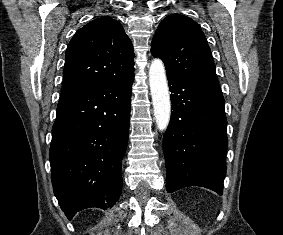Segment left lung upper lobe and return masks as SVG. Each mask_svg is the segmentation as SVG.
Here are the masks:
<instances>
[{
	"label": "left lung upper lobe",
	"mask_w": 283,
	"mask_h": 235,
	"mask_svg": "<svg viewBox=\"0 0 283 235\" xmlns=\"http://www.w3.org/2000/svg\"><path fill=\"white\" fill-rule=\"evenodd\" d=\"M151 53L163 60L167 74L219 86L207 40L201 27L187 16L171 14L159 24Z\"/></svg>",
	"instance_id": "1"
}]
</instances>
